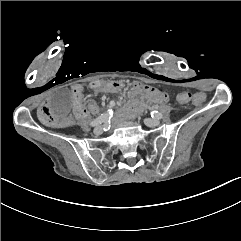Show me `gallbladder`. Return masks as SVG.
<instances>
[{
	"label": "gallbladder",
	"mask_w": 241,
	"mask_h": 241,
	"mask_svg": "<svg viewBox=\"0 0 241 241\" xmlns=\"http://www.w3.org/2000/svg\"><path fill=\"white\" fill-rule=\"evenodd\" d=\"M53 112L55 116L64 118L74 110V95L72 91L63 89L55 93L53 99Z\"/></svg>",
	"instance_id": "obj_1"
}]
</instances>
